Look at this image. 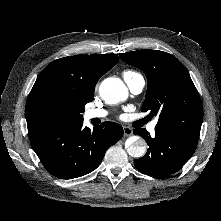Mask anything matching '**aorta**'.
Segmentation results:
<instances>
[{
    "mask_svg": "<svg viewBox=\"0 0 221 221\" xmlns=\"http://www.w3.org/2000/svg\"><path fill=\"white\" fill-rule=\"evenodd\" d=\"M101 98L108 104H116L126 100L128 90L118 78H107L99 87ZM127 153L134 158H140L146 153V142L140 137H131L126 144Z\"/></svg>",
    "mask_w": 221,
    "mask_h": 221,
    "instance_id": "1",
    "label": "aorta"
}]
</instances>
